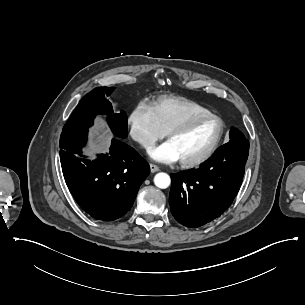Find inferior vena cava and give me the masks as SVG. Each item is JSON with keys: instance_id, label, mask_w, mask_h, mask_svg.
I'll return each instance as SVG.
<instances>
[{"instance_id": "obj_1", "label": "inferior vena cava", "mask_w": 305, "mask_h": 305, "mask_svg": "<svg viewBox=\"0 0 305 305\" xmlns=\"http://www.w3.org/2000/svg\"><path fill=\"white\" fill-rule=\"evenodd\" d=\"M143 145H145V142L143 141V142H141Z\"/></svg>"}]
</instances>
